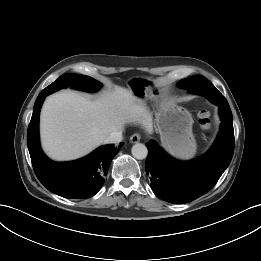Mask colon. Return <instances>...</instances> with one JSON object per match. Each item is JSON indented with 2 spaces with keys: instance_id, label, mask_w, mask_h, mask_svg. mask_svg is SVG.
I'll use <instances>...</instances> for the list:
<instances>
[{
  "instance_id": "colon-1",
  "label": "colon",
  "mask_w": 261,
  "mask_h": 261,
  "mask_svg": "<svg viewBox=\"0 0 261 261\" xmlns=\"http://www.w3.org/2000/svg\"><path fill=\"white\" fill-rule=\"evenodd\" d=\"M198 120L200 126L204 129L207 130L210 128L211 125V118H210V113L207 110H201L198 114Z\"/></svg>"
}]
</instances>
